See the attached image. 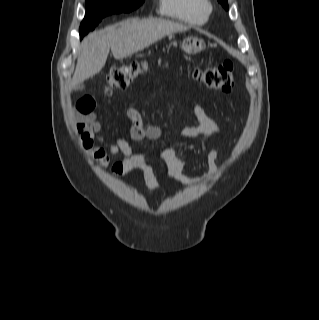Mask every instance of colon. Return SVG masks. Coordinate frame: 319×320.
<instances>
[{
    "mask_svg": "<svg viewBox=\"0 0 319 320\" xmlns=\"http://www.w3.org/2000/svg\"><path fill=\"white\" fill-rule=\"evenodd\" d=\"M146 70L147 64L138 61L114 67L107 75L106 93L110 94L114 89H126ZM192 75L198 82L210 89L228 91L235 84L233 64L228 60L214 66L194 69ZM121 167L120 163H116L113 169L118 173Z\"/></svg>",
    "mask_w": 319,
    "mask_h": 320,
    "instance_id": "1",
    "label": "colon"
}]
</instances>
